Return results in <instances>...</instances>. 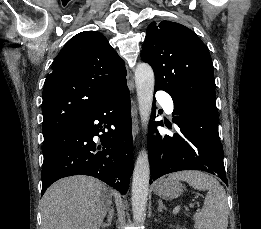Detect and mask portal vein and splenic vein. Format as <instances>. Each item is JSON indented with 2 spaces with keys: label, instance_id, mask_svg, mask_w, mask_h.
Returning <instances> with one entry per match:
<instances>
[{
  "label": "portal vein and splenic vein",
  "instance_id": "1",
  "mask_svg": "<svg viewBox=\"0 0 261 229\" xmlns=\"http://www.w3.org/2000/svg\"><path fill=\"white\" fill-rule=\"evenodd\" d=\"M190 207H194L193 203H191ZM196 207H197V208H200V207H201V204H200V203H197V204H196ZM179 212H180V206H179V205H176V206H175V209L171 211V214H172V215H177V213H179Z\"/></svg>",
  "mask_w": 261,
  "mask_h": 229
}]
</instances>
